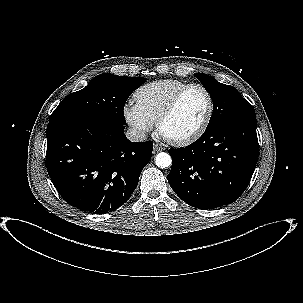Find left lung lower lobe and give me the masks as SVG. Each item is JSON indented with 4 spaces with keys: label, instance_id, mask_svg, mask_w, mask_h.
I'll use <instances>...</instances> for the list:
<instances>
[{
    "label": "left lung lower lobe",
    "instance_id": "1",
    "mask_svg": "<svg viewBox=\"0 0 303 303\" xmlns=\"http://www.w3.org/2000/svg\"><path fill=\"white\" fill-rule=\"evenodd\" d=\"M256 117L205 130L194 143L169 149L168 182L187 204L214 209L236 201L245 191L257 164Z\"/></svg>",
    "mask_w": 303,
    "mask_h": 303
}]
</instances>
